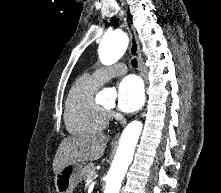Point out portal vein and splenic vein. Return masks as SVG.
I'll return each instance as SVG.
<instances>
[{
	"label": "portal vein and splenic vein",
	"instance_id": "portal-vein-and-splenic-vein-1",
	"mask_svg": "<svg viewBox=\"0 0 221 193\" xmlns=\"http://www.w3.org/2000/svg\"><path fill=\"white\" fill-rule=\"evenodd\" d=\"M97 174L95 173L93 178L90 181H93L96 178Z\"/></svg>",
	"mask_w": 221,
	"mask_h": 193
}]
</instances>
